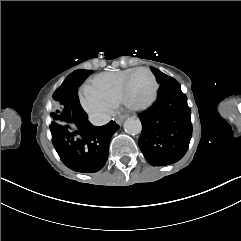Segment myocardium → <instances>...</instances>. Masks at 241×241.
<instances>
[{
    "label": "myocardium",
    "mask_w": 241,
    "mask_h": 241,
    "mask_svg": "<svg viewBox=\"0 0 241 241\" xmlns=\"http://www.w3.org/2000/svg\"><path fill=\"white\" fill-rule=\"evenodd\" d=\"M140 73L145 74L146 76H150L151 80L153 81V95L151 97V99L149 101H147V103L145 104H139L137 107L135 108H141V109H146V108H150V106H152V102H154V100L158 97V93H159V81L157 79V76L155 73H153V71H150L148 69L142 68V67H136L134 70L133 74H129V77L124 81V87H122V93H124L125 95H120L119 98V103H125V100L128 102V96H129V85L132 81V79L136 76L139 75ZM146 112V111H145Z\"/></svg>",
    "instance_id": "1"
}]
</instances>
